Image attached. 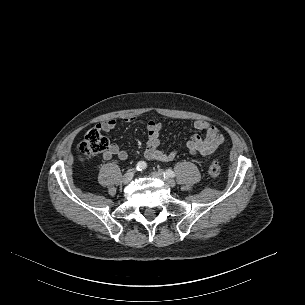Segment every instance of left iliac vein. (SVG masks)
Masks as SVG:
<instances>
[{"mask_svg":"<svg viewBox=\"0 0 305 305\" xmlns=\"http://www.w3.org/2000/svg\"><path fill=\"white\" fill-rule=\"evenodd\" d=\"M152 176L164 181L169 187H174L175 186V181L170 178H164L163 172L162 171H156L151 173Z\"/></svg>","mask_w":305,"mask_h":305,"instance_id":"4c4485c4","label":"left iliac vein"}]
</instances>
